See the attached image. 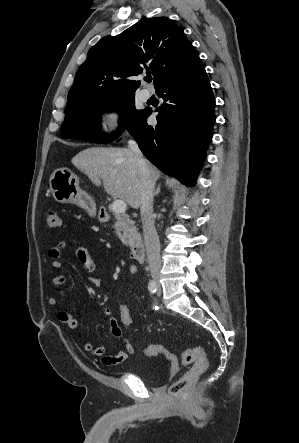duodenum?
Returning <instances> with one entry per match:
<instances>
[{"mask_svg":"<svg viewBox=\"0 0 299 443\" xmlns=\"http://www.w3.org/2000/svg\"><path fill=\"white\" fill-rule=\"evenodd\" d=\"M101 217L102 219L109 218L107 212H104ZM129 254L131 258L134 259L136 262H141L144 259L145 250L142 240L137 239L129 244Z\"/></svg>","mask_w":299,"mask_h":443,"instance_id":"1","label":"duodenum"}]
</instances>
